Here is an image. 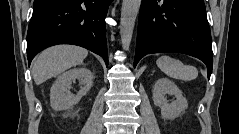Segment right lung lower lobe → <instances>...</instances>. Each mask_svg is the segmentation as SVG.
Instances as JSON below:
<instances>
[{"label": "right lung lower lobe", "instance_id": "right-lung-lower-lobe-1", "mask_svg": "<svg viewBox=\"0 0 239 134\" xmlns=\"http://www.w3.org/2000/svg\"><path fill=\"white\" fill-rule=\"evenodd\" d=\"M112 0H34L27 33L30 65L41 50L73 44L100 55L108 65L105 18Z\"/></svg>", "mask_w": 239, "mask_h": 134}]
</instances>
